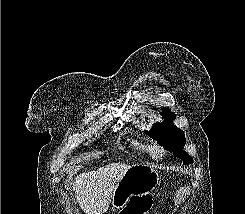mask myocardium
Returning <instances> with one entry per match:
<instances>
[{"label":"myocardium","instance_id":"obj_1","mask_svg":"<svg viewBox=\"0 0 245 214\" xmlns=\"http://www.w3.org/2000/svg\"><path fill=\"white\" fill-rule=\"evenodd\" d=\"M150 153L155 158H161L165 154L164 148L159 144H153L150 147Z\"/></svg>","mask_w":245,"mask_h":214}]
</instances>
